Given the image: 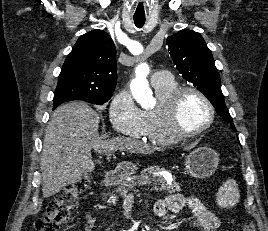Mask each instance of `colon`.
Instances as JSON below:
<instances>
[{"instance_id":"5ec220e1","label":"colon","mask_w":268,"mask_h":231,"mask_svg":"<svg viewBox=\"0 0 268 231\" xmlns=\"http://www.w3.org/2000/svg\"><path fill=\"white\" fill-rule=\"evenodd\" d=\"M86 188L87 181L78 179L60 189L48 203L45 214L34 223V231H58L71 218ZM241 231H256L255 224L251 221L246 222Z\"/></svg>"}]
</instances>
